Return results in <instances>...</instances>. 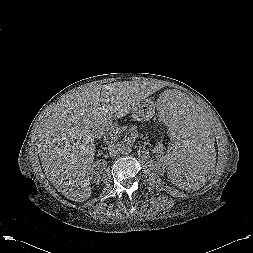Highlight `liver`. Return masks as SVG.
Returning <instances> with one entry per match:
<instances>
[{"label": "liver", "mask_w": 253, "mask_h": 253, "mask_svg": "<svg viewBox=\"0 0 253 253\" xmlns=\"http://www.w3.org/2000/svg\"><path fill=\"white\" fill-rule=\"evenodd\" d=\"M153 92L140 82L91 85L69 95L41 122L38 150L44 172L67 199L84 202L92 194L95 145L91 129L126 116Z\"/></svg>", "instance_id": "1"}]
</instances>
